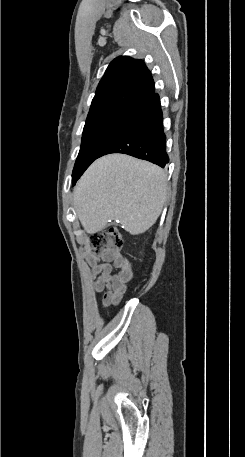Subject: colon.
<instances>
[{
    "label": "colon",
    "instance_id": "obj_1",
    "mask_svg": "<svg viewBox=\"0 0 245 457\" xmlns=\"http://www.w3.org/2000/svg\"><path fill=\"white\" fill-rule=\"evenodd\" d=\"M90 244L97 255L118 253L124 245V236L116 226H110L90 236Z\"/></svg>",
    "mask_w": 245,
    "mask_h": 457
}]
</instances>
